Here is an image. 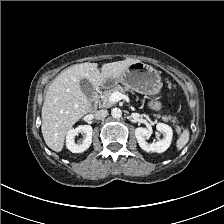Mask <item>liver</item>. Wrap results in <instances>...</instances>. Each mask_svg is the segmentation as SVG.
<instances>
[{"label":"liver","mask_w":224,"mask_h":224,"mask_svg":"<svg viewBox=\"0 0 224 224\" xmlns=\"http://www.w3.org/2000/svg\"><path fill=\"white\" fill-rule=\"evenodd\" d=\"M136 59L104 64L101 72L97 63L85 62L62 71L49 85L42 107V135L46 145L60 152L70 128L90 111V102L80 88V80L92 86L103 85L108 78H117Z\"/></svg>","instance_id":"1"}]
</instances>
